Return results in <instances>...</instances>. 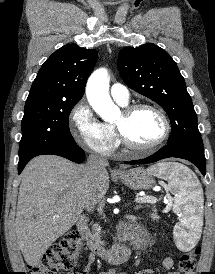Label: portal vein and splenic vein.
I'll return each mask as SVG.
<instances>
[{"mask_svg":"<svg viewBox=\"0 0 215 274\" xmlns=\"http://www.w3.org/2000/svg\"><path fill=\"white\" fill-rule=\"evenodd\" d=\"M136 203H154L156 202V198L152 196H142V197H137L135 199Z\"/></svg>","mask_w":215,"mask_h":274,"instance_id":"1","label":"portal vein and splenic vein"}]
</instances>
